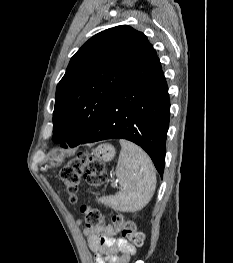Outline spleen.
<instances>
[{
	"label": "spleen",
	"mask_w": 233,
	"mask_h": 263,
	"mask_svg": "<svg viewBox=\"0 0 233 263\" xmlns=\"http://www.w3.org/2000/svg\"><path fill=\"white\" fill-rule=\"evenodd\" d=\"M116 176L121 190L112 196L98 199L121 212L143 208L151 200L156 188V173L149 156L140 147L126 140H120Z\"/></svg>",
	"instance_id": "obj_1"
}]
</instances>
